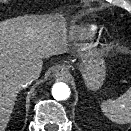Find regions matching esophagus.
Returning a JSON list of instances; mask_svg holds the SVG:
<instances>
[{
    "label": "esophagus",
    "instance_id": "1",
    "mask_svg": "<svg viewBox=\"0 0 131 131\" xmlns=\"http://www.w3.org/2000/svg\"><path fill=\"white\" fill-rule=\"evenodd\" d=\"M69 73V66L68 65H61L59 66L55 71H54V74L53 76L55 78H58V79H61V78H64L68 75Z\"/></svg>",
    "mask_w": 131,
    "mask_h": 131
}]
</instances>
